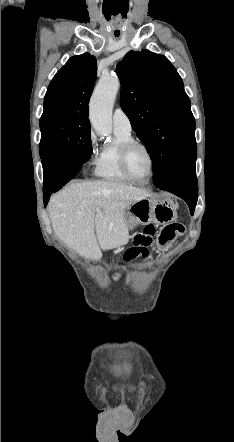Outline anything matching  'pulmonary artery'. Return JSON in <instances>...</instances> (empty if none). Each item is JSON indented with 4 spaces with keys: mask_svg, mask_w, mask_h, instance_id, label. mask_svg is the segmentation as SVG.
<instances>
[{
    "mask_svg": "<svg viewBox=\"0 0 234 442\" xmlns=\"http://www.w3.org/2000/svg\"><path fill=\"white\" fill-rule=\"evenodd\" d=\"M112 120L114 129L131 133L132 126L130 119L122 108L118 107L114 110Z\"/></svg>",
    "mask_w": 234,
    "mask_h": 442,
    "instance_id": "obj_1",
    "label": "pulmonary artery"
}]
</instances>
